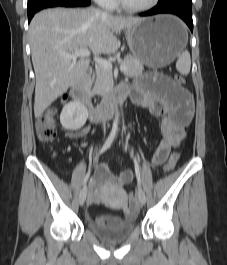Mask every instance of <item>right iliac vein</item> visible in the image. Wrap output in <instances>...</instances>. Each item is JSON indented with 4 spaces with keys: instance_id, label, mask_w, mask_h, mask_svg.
I'll use <instances>...</instances> for the list:
<instances>
[{
    "instance_id": "1",
    "label": "right iliac vein",
    "mask_w": 227,
    "mask_h": 265,
    "mask_svg": "<svg viewBox=\"0 0 227 265\" xmlns=\"http://www.w3.org/2000/svg\"><path fill=\"white\" fill-rule=\"evenodd\" d=\"M86 196H87V188L83 187V189L81 190L80 194H79V204L83 205L85 200H86Z\"/></svg>"
}]
</instances>
